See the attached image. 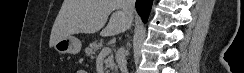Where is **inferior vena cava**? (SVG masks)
Listing matches in <instances>:
<instances>
[{
	"instance_id": "obj_1",
	"label": "inferior vena cava",
	"mask_w": 244,
	"mask_h": 73,
	"mask_svg": "<svg viewBox=\"0 0 244 73\" xmlns=\"http://www.w3.org/2000/svg\"><path fill=\"white\" fill-rule=\"evenodd\" d=\"M121 6L123 12L126 14V16L129 18V24L127 28L130 27L132 20H133V12L135 10V0H121ZM118 66L122 73H128L127 72V61H126V54L124 48H120L118 51Z\"/></svg>"
}]
</instances>
